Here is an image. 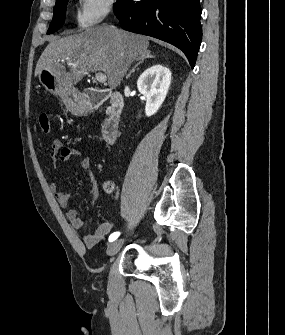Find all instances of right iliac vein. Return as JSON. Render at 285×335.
Returning <instances> with one entry per match:
<instances>
[{
    "label": "right iliac vein",
    "instance_id": "1",
    "mask_svg": "<svg viewBox=\"0 0 285 335\" xmlns=\"http://www.w3.org/2000/svg\"><path fill=\"white\" fill-rule=\"evenodd\" d=\"M121 244H122V240H116L112 242L108 247L107 255L114 256L115 254H117L120 251Z\"/></svg>",
    "mask_w": 285,
    "mask_h": 335
}]
</instances>
